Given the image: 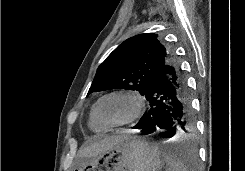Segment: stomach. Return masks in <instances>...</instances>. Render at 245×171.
<instances>
[{"label": "stomach", "instance_id": "stomach-1", "mask_svg": "<svg viewBox=\"0 0 245 171\" xmlns=\"http://www.w3.org/2000/svg\"><path fill=\"white\" fill-rule=\"evenodd\" d=\"M164 166L159 148L130 135L96 157L82 158L72 171H160Z\"/></svg>", "mask_w": 245, "mask_h": 171}]
</instances>
